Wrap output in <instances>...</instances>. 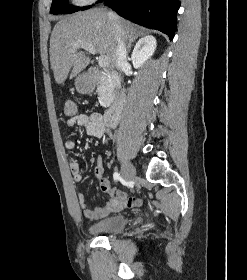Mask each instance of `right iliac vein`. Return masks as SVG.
<instances>
[{
	"mask_svg": "<svg viewBox=\"0 0 247 280\" xmlns=\"http://www.w3.org/2000/svg\"><path fill=\"white\" fill-rule=\"evenodd\" d=\"M121 175L125 180L130 181L134 179L136 175V170L130 162L125 161L122 164Z\"/></svg>",
	"mask_w": 247,
	"mask_h": 280,
	"instance_id": "obj_1",
	"label": "right iliac vein"
}]
</instances>
